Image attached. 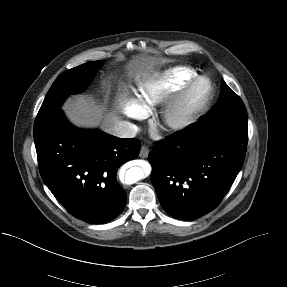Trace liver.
Masks as SVG:
<instances>
[{"mask_svg": "<svg viewBox=\"0 0 287 287\" xmlns=\"http://www.w3.org/2000/svg\"><path fill=\"white\" fill-rule=\"evenodd\" d=\"M133 65L138 68L137 76H146L147 70L152 67V64L140 63L137 59L133 61ZM144 66H147L146 71L143 70ZM62 109L70 122L77 127L93 128L101 124L102 129L109 132L114 122L119 121L116 114H104V109L96 105L92 98L82 95L69 98Z\"/></svg>", "mask_w": 287, "mask_h": 287, "instance_id": "6515ba94", "label": "liver"}]
</instances>
